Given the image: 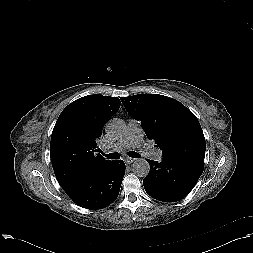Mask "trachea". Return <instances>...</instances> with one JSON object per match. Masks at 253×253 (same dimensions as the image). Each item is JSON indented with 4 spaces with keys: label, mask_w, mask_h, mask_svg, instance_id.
I'll return each instance as SVG.
<instances>
[{
    "label": "trachea",
    "mask_w": 253,
    "mask_h": 253,
    "mask_svg": "<svg viewBox=\"0 0 253 253\" xmlns=\"http://www.w3.org/2000/svg\"><path fill=\"white\" fill-rule=\"evenodd\" d=\"M102 155H104L106 158L112 159V160H117V159L120 158V154H119V153L104 154V153L102 152ZM128 155H129L130 157H132V158H139V157H140V155H139L138 153L134 152V151H130V152L128 153Z\"/></svg>",
    "instance_id": "3493384b"
}]
</instances>
